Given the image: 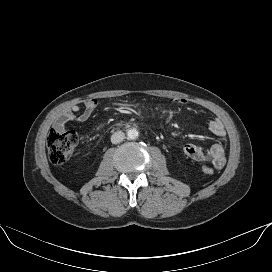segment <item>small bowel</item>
Listing matches in <instances>:
<instances>
[{"instance_id": "c3829d8e", "label": "small bowel", "mask_w": 272, "mask_h": 272, "mask_svg": "<svg viewBox=\"0 0 272 272\" xmlns=\"http://www.w3.org/2000/svg\"><path fill=\"white\" fill-rule=\"evenodd\" d=\"M187 101L183 98H176L173 103L184 105ZM97 105L95 99L90 98L84 102V107L81 109L77 105L71 106L63 112L55 121L54 128L58 131H63L69 122H84L93 113ZM209 131L217 136L220 141L212 145L209 149H205L195 144H187L184 146L185 155L195 162H208L216 169H222L225 165L226 158V131L220 119L215 118L209 122Z\"/></svg>"}]
</instances>
